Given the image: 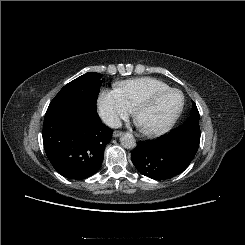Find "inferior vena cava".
Segmentation results:
<instances>
[{
    "label": "inferior vena cava",
    "instance_id": "obj_1",
    "mask_svg": "<svg viewBox=\"0 0 245 245\" xmlns=\"http://www.w3.org/2000/svg\"><path fill=\"white\" fill-rule=\"evenodd\" d=\"M104 122L111 128H120L122 126L121 120L118 116L109 115L104 117Z\"/></svg>",
    "mask_w": 245,
    "mask_h": 245
}]
</instances>
